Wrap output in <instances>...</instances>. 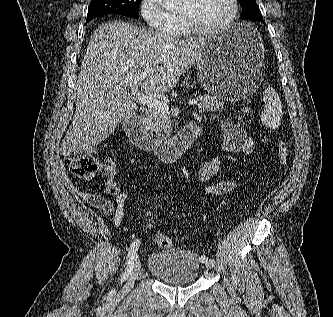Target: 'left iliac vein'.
<instances>
[{
	"label": "left iliac vein",
	"instance_id": "left-iliac-vein-1",
	"mask_svg": "<svg viewBox=\"0 0 333 317\" xmlns=\"http://www.w3.org/2000/svg\"><path fill=\"white\" fill-rule=\"evenodd\" d=\"M205 265H206L207 268L213 269L215 267V261L213 259H208L205 262Z\"/></svg>",
	"mask_w": 333,
	"mask_h": 317
}]
</instances>
